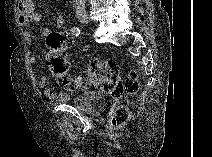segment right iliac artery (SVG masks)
<instances>
[{"label":"right iliac artery","instance_id":"right-iliac-artery-1","mask_svg":"<svg viewBox=\"0 0 212 157\" xmlns=\"http://www.w3.org/2000/svg\"><path fill=\"white\" fill-rule=\"evenodd\" d=\"M70 32L74 36H79L80 35V29L78 27H73L70 29Z\"/></svg>","mask_w":212,"mask_h":157}]
</instances>
